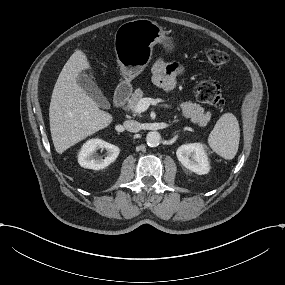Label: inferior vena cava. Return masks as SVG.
Segmentation results:
<instances>
[{"instance_id":"inferior-vena-cava-1","label":"inferior vena cava","mask_w":285,"mask_h":285,"mask_svg":"<svg viewBox=\"0 0 285 285\" xmlns=\"http://www.w3.org/2000/svg\"><path fill=\"white\" fill-rule=\"evenodd\" d=\"M124 128L129 132H139L141 129L140 123L135 120H127L124 122Z\"/></svg>"}]
</instances>
